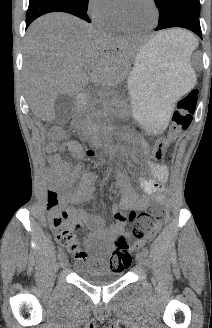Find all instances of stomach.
I'll use <instances>...</instances> for the list:
<instances>
[{
    "label": "stomach",
    "mask_w": 212,
    "mask_h": 328,
    "mask_svg": "<svg viewBox=\"0 0 212 328\" xmlns=\"http://www.w3.org/2000/svg\"><path fill=\"white\" fill-rule=\"evenodd\" d=\"M195 82L190 57L175 44L150 39L137 51L128 77L134 116L148 131L160 133L175 101Z\"/></svg>",
    "instance_id": "stomach-1"
}]
</instances>
